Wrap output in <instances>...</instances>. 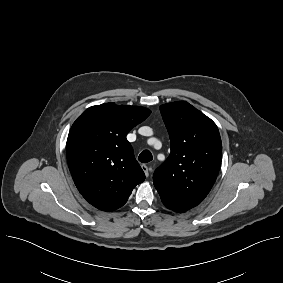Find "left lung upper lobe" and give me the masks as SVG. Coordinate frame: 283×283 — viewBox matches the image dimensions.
Segmentation results:
<instances>
[{
  "label": "left lung upper lobe",
  "instance_id": "1",
  "mask_svg": "<svg viewBox=\"0 0 283 283\" xmlns=\"http://www.w3.org/2000/svg\"><path fill=\"white\" fill-rule=\"evenodd\" d=\"M160 111L171 153L153 175L164 205L187 211L203 201L220 168L222 143L216 124L186 101L167 103Z\"/></svg>",
  "mask_w": 283,
  "mask_h": 283
}]
</instances>
